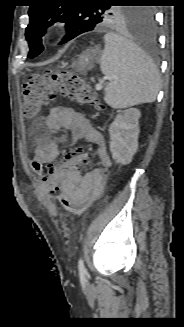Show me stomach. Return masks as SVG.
Instances as JSON below:
<instances>
[{
    "label": "stomach",
    "instance_id": "1",
    "mask_svg": "<svg viewBox=\"0 0 184 327\" xmlns=\"http://www.w3.org/2000/svg\"><path fill=\"white\" fill-rule=\"evenodd\" d=\"M97 50H88L85 51L75 62V66L80 71H87L92 67L93 61L97 59Z\"/></svg>",
    "mask_w": 184,
    "mask_h": 327
}]
</instances>
